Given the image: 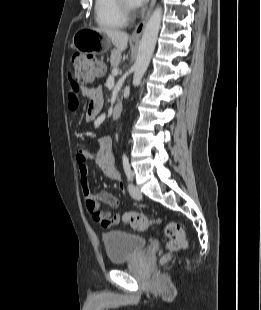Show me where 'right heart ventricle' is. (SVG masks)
<instances>
[{"mask_svg":"<svg viewBox=\"0 0 261 310\" xmlns=\"http://www.w3.org/2000/svg\"><path fill=\"white\" fill-rule=\"evenodd\" d=\"M94 18L97 25L104 29L122 28L127 22L116 0H95Z\"/></svg>","mask_w":261,"mask_h":310,"instance_id":"1","label":"right heart ventricle"}]
</instances>
